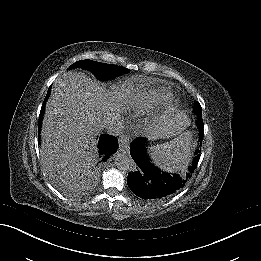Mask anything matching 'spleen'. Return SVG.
<instances>
[{
	"instance_id": "3e777b00",
	"label": "spleen",
	"mask_w": 261,
	"mask_h": 261,
	"mask_svg": "<svg viewBox=\"0 0 261 261\" xmlns=\"http://www.w3.org/2000/svg\"><path fill=\"white\" fill-rule=\"evenodd\" d=\"M193 134L190 131L182 133L171 143H163L153 148L152 157L156 165L169 172H184L191 160Z\"/></svg>"
}]
</instances>
